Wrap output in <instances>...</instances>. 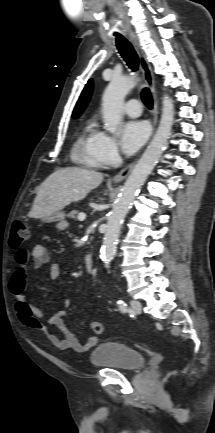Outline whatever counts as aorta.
Listing matches in <instances>:
<instances>
[{"mask_svg": "<svg viewBox=\"0 0 215 433\" xmlns=\"http://www.w3.org/2000/svg\"><path fill=\"white\" fill-rule=\"evenodd\" d=\"M134 86L135 80L132 77H115L111 80L103 94V120L106 130L112 134L119 133L123 115L124 98ZM162 105L161 120L156 134L126 180L120 196L109 214L101 251L102 259L106 265L111 262L116 253L121 224L126 217L138 190L144 184L148 175L157 164L171 134L174 120L173 101L168 95H164Z\"/></svg>", "mask_w": 215, "mask_h": 433, "instance_id": "1", "label": "aorta"}]
</instances>
